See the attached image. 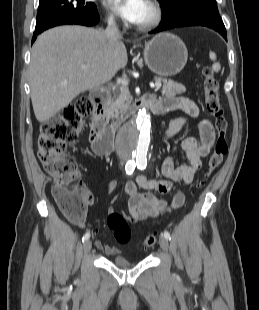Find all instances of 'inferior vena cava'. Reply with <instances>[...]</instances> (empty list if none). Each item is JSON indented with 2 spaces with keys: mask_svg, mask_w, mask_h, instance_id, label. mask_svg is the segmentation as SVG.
Wrapping results in <instances>:
<instances>
[{
  "mask_svg": "<svg viewBox=\"0 0 259 310\" xmlns=\"http://www.w3.org/2000/svg\"><path fill=\"white\" fill-rule=\"evenodd\" d=\"M104 34L110 43H115L121 39V34L114 19L108 20V26L104 31Z\"/></svg>",
  "mask_w": 259,
  "mask_h": 310,
  "instance_id": "602c4592",
  "label": "inferior vena cava"
}]
</instances>
